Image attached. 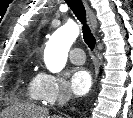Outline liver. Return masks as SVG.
<instances>
[{
    "label": "liver",
    "mask_w": 133,
    "mask_h": 118,
    "mask_svg": "<svg viewBox=\"0 0 133 118\" xmlns=\"http://www.w3.org/2000/svg\"><path fill=\"white\" fill-rule=\"evenodd\" d=\"M1 116L3 118H50L46 108L30 104H18L7 108Z\"/></svg>",
    "instance_id": "1"
}]
</instances>
